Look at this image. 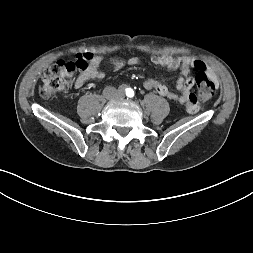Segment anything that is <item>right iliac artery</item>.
Listing matches in <instances>:
<instances>
[{
  "label": "right iliac artery",
  "mask_w": 253,
  "mask_h": 253,
  "mask_svg": "<svg viewBox=\"0 0 253 253\" xmlns=\"http://www.w3.org/2000/svg\"><path fill=\"white\" fill-rule=\"evenodd\" d=\"M118 92L124 93L125 92V87L124 86H120L118 88Z\"/></svg>",
  "instance_id": "1"
}]
</instances>
